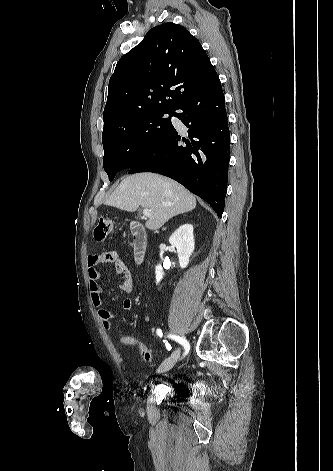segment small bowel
I'll use <instances>...</instances> for the list:
<instances>
[{
	"mask_svg": "<svg viewBox=\"0 0 333 471\" xmlns=\"http://www.w3.org/2000/svg\"><path fill=\"white\" fill-rule=\"evenodd\" d=\"M103 263L114 265L120 289L127 295H129L133 290V279L129 267L117 251L109 250L97 252L89 255L87 258V272L91 301L93 305L98 308V316L103 327L109 330L111 329V321L114 316L102 306V288L99 284L101 273L97 269V266ZM131 308L132 300L130 297H126L122 302V310L124 313H127ZM146 320H148V318Z\"/></svg>",
	"mask_w": 333,
	"mask_h": 471,
	"instance_id": "c3829d8e",
	"label": "small bowel"
}]
</instances>
